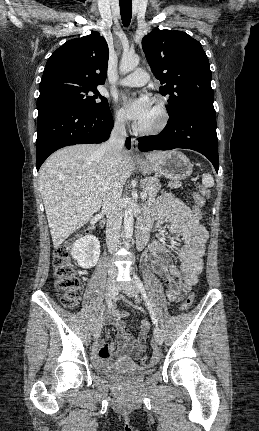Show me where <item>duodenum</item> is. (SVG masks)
I'll list each match as a JSON object with an SVG mask.
<instances>
[{"mask_svg": "<svg viewBox=\"0 0 259 431\" xmlns=\"http://www.w3.org/2000/svg\"><path fill=\"white\" fill-rule=\"evenodd\" d=\"M102 225L105 224V219L101 222ZM148 226L145 222H140L137 226V238H138V248H142L147 240Z\"/></svg>", "mask_w": 259, "mask_h": 431, "instance_id": "1", "label": "duodenum"}]
</instances>
